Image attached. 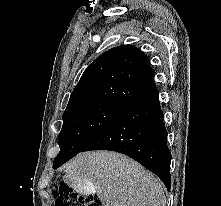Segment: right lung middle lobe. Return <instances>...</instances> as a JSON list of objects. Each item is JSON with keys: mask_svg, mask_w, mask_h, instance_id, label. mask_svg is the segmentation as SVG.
I'll return each mask as SVG.
<instances>
[{"mask_svg": "<svg viewBox=\"0 0 221 206\" xmlns=\"http://www.w3.org/2000/svg\"><path fill=\"white\" fill-rule=\"evenodd\" d=\"M124 109L110 104H92L65 111L59 134L60 152L54 160L53 167L57 168L81 152Z\"/></svg>", "mask_w": 221, "mask_h": 206, "instance_id": "obj_1", "label": "right lung middle lobe"}]
</instances>
